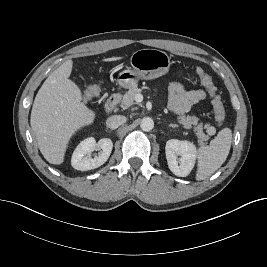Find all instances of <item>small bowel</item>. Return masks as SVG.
<instances>
[{
  "mask_svg": "<svg viewBox=\"0 0 267 267\" xmlns=\"http://www.w3.org/2000/svg\"><path fill=\"white\" fill-rule=\"evenodd\" d=\"M206 98L202 89L186 90L179 82L171 83L169 87L168 107L174 113L181 115L188 112L191 107Z\"/></svg>",
  "mask_w": 267,
  "mask_h": 267,
  "instance_id": "obj_1",
  "label": "small bowel"
}]
</instances>
